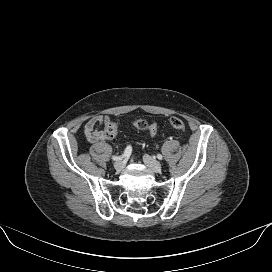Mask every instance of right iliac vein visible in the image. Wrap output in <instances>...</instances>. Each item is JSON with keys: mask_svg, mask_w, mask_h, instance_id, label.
<instances>
[{"mask_svg": "<svg viewBox=\"0 0 272 272\" xmlns=\"http://www.w3.org/2000/svg\"><path fill=\"white\" fill-rule=\"evenodd\" d=\"M124 165H125L124 161L122 159H119L114 163V168L117 171H121L123 169Z\"/></svg>", "mask_w": 272, "mask_h": 272, "instance_id": "1", "label": "right iliac vein"}]
</instances>
